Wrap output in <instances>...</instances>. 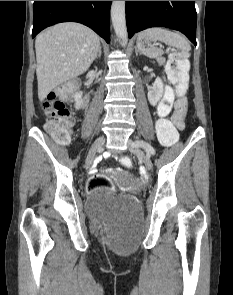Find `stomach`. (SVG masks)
<instances>
[{
    "instance_id": "0dacf381",
    "label": "stomach",
    "mask_w": 233,
    "mask_h": 295,
    "mask_svg": "<svg viewBox=\"0 0 233 295\" xmlns=\"http://www.w3.org/2000/svg\"><path fill=\"white\" fill-rule=\"evenodd\" d=\"M149 41L148 40H145V43L147 44Z\"/></svg>"
}]
</instances>
